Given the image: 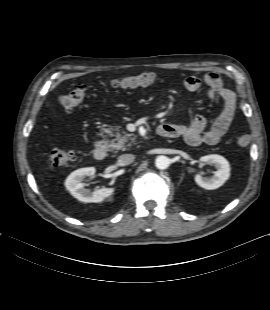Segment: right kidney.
I'll return each mask as SVG.
<instances>
[{
	"instance_id": "obj_1",
	"label": "right kidney",
	"mask_w": 270,
	"mask_h": 310,
	"mask_svg": "<svg viewBox=\"0 0 270 310\" xmlns=\"http://www.w3.org/2000/svg\"><path fill=\"white\" fill-rule=\"evenodd\" d=\"M96 169L94 167H86L75 170L72 172L65 181V187L71 195L77 198L81 202L85 203H99L102 202L105 198L112 195L114 192L113 188H101L91 192L89 189L84 187L83 181L88 176H93Z\"/></svg>"
}]
</instances>
